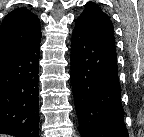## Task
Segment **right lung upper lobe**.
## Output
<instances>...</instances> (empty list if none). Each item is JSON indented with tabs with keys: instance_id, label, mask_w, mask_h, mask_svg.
Listing matches in <instances>:
<instances>
[{
	"instance_id": "right-lung-upper-lobe-1",
	"label": "right lung upper lobe",
	"mask_w": 144,
	"mask_h": 137,
	"mask_svg": "<svg viewBox=\"0 0 144 137\" xmlns=\"http://www.w3.org/2000/svg\"><path fill=\"white\" fill-rule=\"evenodd\" d=\"M41 35L40 21L25 8L10 12L0 26V57L34 41Z\"/></svg>"
}]
</instances>
